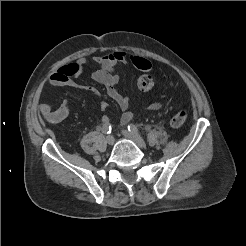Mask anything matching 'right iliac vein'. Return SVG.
Returning <instances> with one entry per match:
<instances>
[{
    "instance_id": "1",
    "label": "right iliac vein",
    "mask_w": 246,
    "mask_h": 246,
    "mask_svg": "<svg viewBox=\"0 0 246 246\" xmlns=\"http://www.w3.org/2000/svg\"><path fill=\"white\" fill-rule=\"evenodd\" d=\"M106 141L109 145H113L115 142L114 136L113 135H108L106 138Z\"/></svg>"
}]
</instances>
